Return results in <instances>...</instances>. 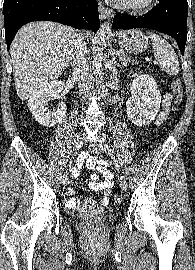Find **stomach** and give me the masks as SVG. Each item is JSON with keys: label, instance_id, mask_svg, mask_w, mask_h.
Here are the masks:
<instances>
[{"label": "stomach", "instance_id": "stomach-1", "mask_svg": "<svg viewBox=\"0 0 195 270\" xmlns=\"http://www.w3.org/2000/svg\"><path fill=\"white\" fill-rule=\"evenodd\" d=\"M120 46L129 53H141L148 47V37L139 29L117 33Z\"/></svg>", "mask_w": 195, "mask_h": 270}]
</instances>
